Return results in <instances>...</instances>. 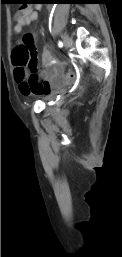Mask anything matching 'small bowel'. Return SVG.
<instances>
[{"label":"small bowel","mask_w":122,"mask_h":257,"mask_svg":"<svg viewBox=\"0 0 122 257\" xmlns=\"http://www.w3.org/2000/svg\"><path fill=\"white\" fill-rule=\"evenodd\" d=\"M40 9L39 7L36 8ZM38 19V12L33 7H25L15 15L14 31L19 34L22 30ZM41 62L44 69L39 74H28L25 68L16 67L14 70L19 89L24 96L49 95L53 85L64 80L66 73H63V65L56 62L55 56L49 47L44 48L41 55Z\"/></svg>","instance_id":"obj_1"}]
</instances>
